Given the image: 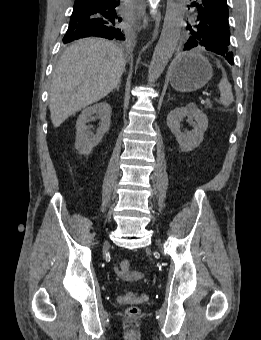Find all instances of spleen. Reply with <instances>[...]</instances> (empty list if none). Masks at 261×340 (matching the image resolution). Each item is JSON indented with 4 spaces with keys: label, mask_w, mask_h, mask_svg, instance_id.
<instances>
[{
    "label": "spleen",
    "mask_w": 261,
    "mask_h": 340,
    "mask_svg": "<svg viewBox=\"0 0 261 340\" xmlns=\"http://www.w3.org/2000/svg\"><path fill=\"white\" fill-rule=\"evenodd\" d=\"M218 88L220 90L219 103L223 106L231 105L234 101L232 87L225 75H223L221 81L219 82Z\"/></svg>",
    "instance_id": "3e777b00"
}]
</instances>
